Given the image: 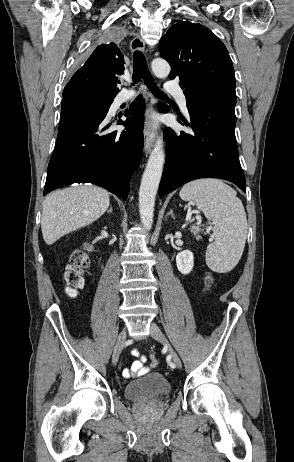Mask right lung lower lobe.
I'll return each instance as SVG.
<instances>
[{
  "mask_svg": "<svg viewBox=\"0 0 294 462\" xmlns=\"http://www.w3.org/2000/svg\"><path fill=\"white\" fill-rule=\"evenodd\" d=\"M145 101L140 95L125 111L122 132L107 130L108 110L60 119L44 194L73 183H93L126 199L143 151Z\"/></svg>",
  "mask_w": 294,
  "mask_h": 462,
  "instance_id": "obj_1",
  "label": "right lung lower lobe"
}]
</instances>
